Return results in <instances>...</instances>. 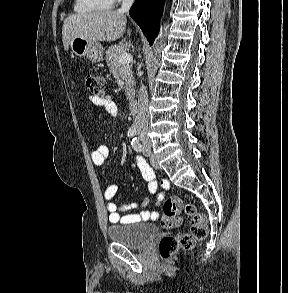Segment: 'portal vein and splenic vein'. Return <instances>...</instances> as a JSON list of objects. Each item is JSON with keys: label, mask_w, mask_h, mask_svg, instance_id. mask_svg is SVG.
I'll return each mask as SVG.
<instances>
[{"label": "portal vein and splenic vein", "mask_w": 288, "mask_h": 293, "mask_svg": "<svg viewBox=\"0 0 288 293\" xmlns=\"http://www.w3.org/2000/svg\"><path fill=\"white\" fill-rule=\"evenodd\" d=\"M132 60H133L132 55L130 53H126L125 52V53H123V54L120 55V57H119V64L125 65V64L130 63Z\"/></svg>", "instance_id": "obj_1"}]
</instances>
